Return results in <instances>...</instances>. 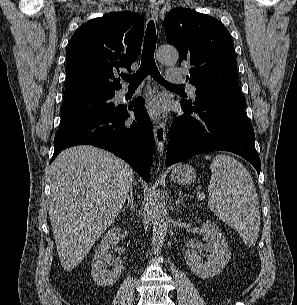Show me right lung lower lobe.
Wrapping results in <instances>:
<instances>
[{"mask_svg": "<svg viewBox=\"0 0 297 305\" xmlns=\"http://www.w3.org/2000/svg\"><path fill=\"white\" fill-rule=\"evenodd\" d=\"M127 109L135 111L132 124L125 123L130 116ZM82 144L114 153L129 163L146 182L150 181L154 134L141 97L129 106L120 105L114 111L90 114L59 129L54 138L51 162L62 150Z\"/></svg>", "mask_w": 297, "mask_h": 305, "instance_id": "98d812e1", "label": "right lung lower lobe"}]
</instances>
